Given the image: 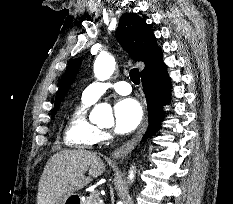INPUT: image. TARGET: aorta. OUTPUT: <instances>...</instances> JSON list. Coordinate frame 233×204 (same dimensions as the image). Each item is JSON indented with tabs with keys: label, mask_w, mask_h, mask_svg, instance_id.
Listing matches in <instances>:
<instances>
[{
	"label": "aorta",
	"mask_w": 233,
	"mask_h": 204,
	"mask_svg": "<svg viewBox=\"0 0 233 204\" xmlns=\"http://www.w3.org/2000/svg\"><path fill=\"white\" fill-rule=\"evenodd\" d=\"M115 64V59L112 56L108 54L99 55L94 63L95 77L100 81L109 79L115 70ZM90 120L96 123H112L113 114L111 106L106 103L97 104L90 114ZM133 177L134 174L131 171L129 178L133 179Z\"/></svg>",
	"instance_id": "aorta-1"
}]
</instances>
